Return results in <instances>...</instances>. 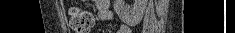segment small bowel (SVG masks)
I'll use <instances>...</instances> for the list:
<instances>
[{
  "mask_svg": "<svg viewBox=\"0 0 235 33\" xmlns=\"http://www.w3.org/2000/svg\"><path fill=\"white\" fill-rule=\"evenodd\" d=\"M95 4L98 10V16L101 20H104V21L113 20V13L109 8L108 0H96ZM117 33H131V31L128 26L121 25Z\"/></svg>",
  "mask_w": 235,
  "mask_h": 33,
  "instance_id": "obj_1",
  "label": "small bowel"
}]
</instances>
